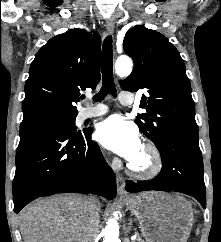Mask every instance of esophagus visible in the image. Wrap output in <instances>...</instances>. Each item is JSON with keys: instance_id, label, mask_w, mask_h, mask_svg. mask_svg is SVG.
Returning a JSON list of instances; mask_svg holds the SVG:
<instances>
[{"instance_id": "34e87169", "label": "esophagus", "mask_w": 221, "mask_h": 242, "mask_svg": "<svg viewBox=\"0 0 221 242\" xmlns=\"http://www.w3.org/2000/svg\"><path fill=\"white\" fill-rule=\"evenodd\" d=\"M106 30L108 33L112 34L115 29V22L113 19H108L106 21ZM116 181H117V193L120 197H127V193L125 192V181L124 178L120 175L117 174L116 176Z\"/></svg>"}]
</instances>
